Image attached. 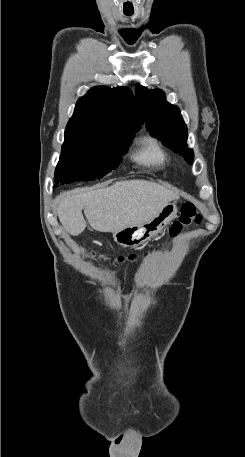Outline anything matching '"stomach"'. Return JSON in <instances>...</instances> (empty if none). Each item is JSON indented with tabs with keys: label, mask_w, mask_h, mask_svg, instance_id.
<instances>
[{
	"label": "stomach",
	"mask_w": 245,
	"mask_h": 457,
	"mask_svg": "<svg viewBox=\"0 0 245 457\" xmlns=\"http://www.w3.org/2000/svg\"><path fill=\"white\" fill-rule=\"evenodd\" d=\"M177 212L176 202H167L161 208L160 212L156 216H153V218H150V220H145V222H140V224L124 226V229L113 233L114 241L117 245H121V247L136 249V247L144 245L147 241H151L159 233H163L167 224H170L171 220L176 218Z\"/></svg>",
	"instance_id": "stomach-1"
}]
</instances>
